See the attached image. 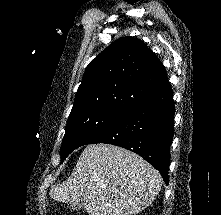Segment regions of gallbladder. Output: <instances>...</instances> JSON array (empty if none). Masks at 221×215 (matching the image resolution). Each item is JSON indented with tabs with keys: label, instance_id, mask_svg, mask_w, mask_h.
<instances>
[{
	"label": "gallbladder",
	"instance_id": "obj_1",
	"mask_svg": "<svg viewBox=\"0 0 221 215\" xmlns=\"http://www.w3.org/2000/svg\"><path fill=\"white\" fill-rule=\"evenodd\" d=\"M70 208L74 211H78L80 210L81 208H83V199L80 198L78 201L76 202H71L69 204Z\"/></svg>",
	"mask_w": 221,
	"mask_h": 215
}]
</instances>
